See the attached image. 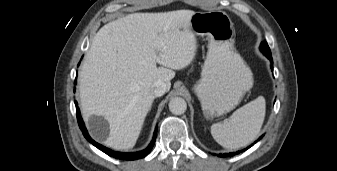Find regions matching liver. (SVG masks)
<instances>
[{
  "label": "liver",
  "mask_w": 337,
  "mask_h": 171,
  "mask_svg": "<svg viewBox=\"0 0 337 171\" xmlns=\"http://www.w3.org/2000/svg\"><path fill=\"white\" fill-rule=\"evenodd\" d=\"M192 10L134 13L104 25L94 36L79 73L83 117L103 116L109 134L103 143L132 148L161 80L170 89L174 70L187 67L197 49L190 29ZM157 64L160 67H157Z\"/></svg>",
  "instance_id": "liver-1"
}]
</instances>
